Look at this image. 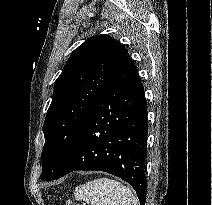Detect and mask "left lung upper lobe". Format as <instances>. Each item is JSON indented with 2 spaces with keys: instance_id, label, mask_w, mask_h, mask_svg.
<instances>
[{
  "instance_id": "5c2ea615",
  "label": "left lung upper lobe",
  "mask_w": 212,
  "mask_h": 205,
  "mask_svg": "<svg viewBox=\"0 0 212 205\" xmlns=\"http://www.w3.org/2000/svg\"><path fill=\"white\" fill-rule=\"evenodd\" d=\"M127 50L109 35L87 39L71 54L54 84L44 122L43 180H54L71 154L82 127L108 88Z\"/></svg>"
}]
</instances>
